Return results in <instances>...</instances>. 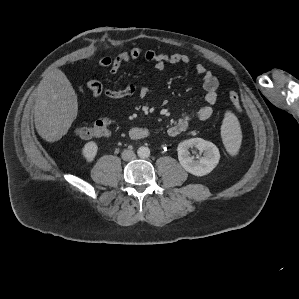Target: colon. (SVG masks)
I'll list each match as a JSON object with an SVG mask.
<instances>
[{"instance_id": "5ec220e1", "label": "colon", "mask_w": 299, "mask_h": 299, "mask_svg": "<svg viewBox=\"0 0 299 299\" xmlns=\"http://www.w3.org/2000/svg\"><path fill=\"white\" fill-rule=\"evenodd\" d=\"M229 99L234 110L241 112V103L238 93L235 90L229 92ZM110 119L107 117L98 119L93 123L76 128L75 133L82 139L106 136L109 133Z\"/></svg>"}]
</instances>
